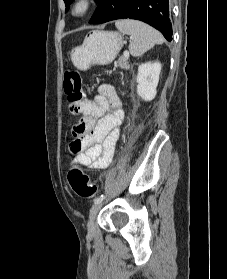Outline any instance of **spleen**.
<instances>
[{"label":"spleen","mask_w":227,"mask_h":279,"mask_svg":"<svg viewBox=\"0 0 227 279\" xmlns=\"http://www.w3.org/2000/svg\"><path fill=\"white\" fill-rule=\"evenodd\" d=\"M115 26L120 32L131 35L129 51L134 57L142 56L154 45L164 42L161 33L140 21L124 19L116 21Z\"/></svg>","instance_id":"3e777b00"}]
</instances>
